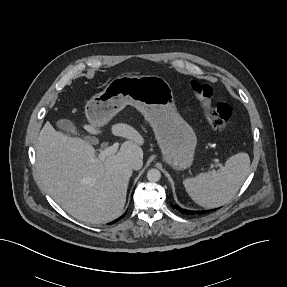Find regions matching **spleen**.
Instances as JSON below:
<instances>
[{
  "instance_id": "3e777b00",
  "label": "spleen",
  "mask_w": 287,
  "mask_h": 287,
  "mask_svg": "<svg viewBox=\"0 0 287 287\" xmlns=\"http://www.w3.org/2000/svg\"><path fill=\"white\" fill-rule=\"evenodd\" d=\"M249 170V155L240 152L228 158L221 169L187 178L183 181V185L198 205L215 208L226 204L236 195Z\"/></svg>"
}]
</instances>
